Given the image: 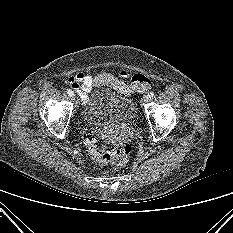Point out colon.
Returning a JSON list of instances; mask_svg holds the SVG:
<instances>
[{
    "label": "colon",
    "mask_w": 233,
    "mask_h": 233,
    "mask_svg": "<svg viewBox=\"0 0 233 233\" xmlns=\"http://www.w3.org/2000/svg\"><path fill=\"white\" fill-rule=\"evenodd\" d=\"M150 84V79L139 73L132 76L130 84L118 80L108 73H102L92 77L93 87L109 86L123 95L131 91H146L150 87ZM85 144L90 157L100 165L113 164L116 167H123L127 164L131 152L130 145H125L120 149H107L90 135L86 137Z\"/></svg>",
    "instance_id": "5ec220e1"
}]
</instances>
